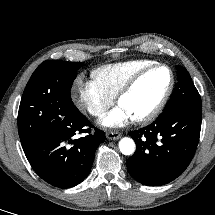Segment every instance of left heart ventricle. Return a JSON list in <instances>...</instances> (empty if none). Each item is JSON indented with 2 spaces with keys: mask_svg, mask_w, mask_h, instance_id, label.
<instances>
[{
  "mask_svg": "<svg viewBox=\"0 0 215 215\" xmlns=\"http://www.w3.org/2000/svg\"><path fill=\"white\" fill-rule=\"evenodd\" d=\"M169 82L170 74L167 69H154L140 80L119 105L123 106L133 119L144 116L160 101Z\"/></svg>",
  "mask_w": 215,
  "mask_h": 215,
  "instance_id": "obj_1",
  "label": "left heart ventricle"
}]
</instances>
